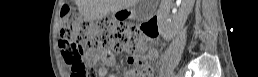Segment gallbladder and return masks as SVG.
<instances>
[{
    "mask_svg": "<svg viewBox=\"0 0 258 77\" xmlns=\"http://www.w3.org/2000/svg\"><path fill=\"white\" fill-rule=\"evenodd\" d=\"M149 0H139L133 7L134 17L137 20H146L153 12L152 6L149 4Z\"/></svg>",
    "mask_w": 258,
    "mask_h": 77,
    "instance_id": "bac80fb5",
    "label": "gallbladder"
}]
</instances>
